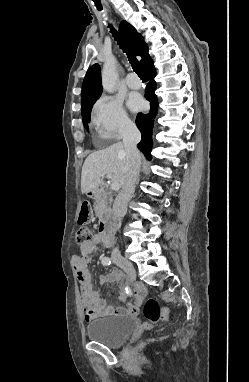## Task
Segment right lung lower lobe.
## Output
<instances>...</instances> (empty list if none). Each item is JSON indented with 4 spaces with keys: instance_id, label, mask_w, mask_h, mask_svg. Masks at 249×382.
Returning <instances> with one entry per match:
<instances>
[{
    "instance_id": "98d812e1",
    "label": "right lung lower lobe",
    "mask_w": 249,
    "mask_h": 382,
    "mask_svg": "<svg viewBox=\"0 0 249 382\" xmlns=\"http://www.w3.org/2000/svg\"><path fill=\"white\" fill-rule=\"evenodd\" d=\"M148 78L149 84L145 89V97L148 101H150V111L149 113H139L136 118V125L141 131L142 139L137 147L141 150V152L147 157V159L151 160V149H152V129L155 115L158 110V100L154 91L156 89V83L154 81V77L156 75L155 68L153 66L152 59L149 60L146 65L143 67Z\"/></svg>"
}]
</instances>
